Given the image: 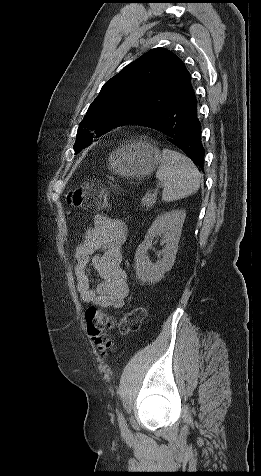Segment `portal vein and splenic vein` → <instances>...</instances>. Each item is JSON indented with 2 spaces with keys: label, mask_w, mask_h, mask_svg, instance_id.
<instances>
[{
  "label": "portal vein and splenic vein",
  "mask_w": 261,
  "mask_h": 476,
  "mask_svg": "<svg viewBox=\"0 0 261 476\" xmlns=\"http://www.w3.org/2000/svg\"><path fill=\"white\" fill-rule=\"evenodd\" d=\"M152 195H153L154 198H156L157 197V192H154Z\"/></svg>",
  "instance_id": "obj_1"
}]
</instances>
